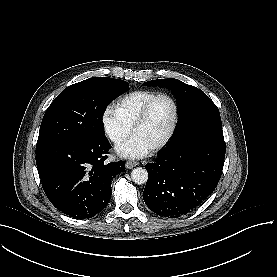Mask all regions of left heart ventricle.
Returning <instances> with one entry per match:
<instances>
[{
	"label": "left heart ventricle",
	"mask_w": 277,
	"mask_h": 277,
	"mask_svg": "<svg viewBox=\"0 0 277 277\" xmlns=\"http://www.w3.org/2000/svg\"><path fill=\"white\" fill-rule=\"evenodd\" d=\"M171 114L172 108L167 101L162 99L155 101L139 127L137 136L147 144L156 143L164 136Z\"/></svg>",
	"instance_id": "left-heart-ventricle-1"
}]
</instances>
